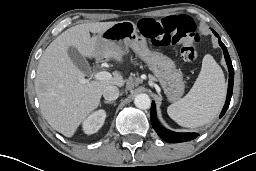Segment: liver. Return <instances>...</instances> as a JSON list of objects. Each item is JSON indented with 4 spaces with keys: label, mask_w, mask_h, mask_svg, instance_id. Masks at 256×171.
<instances>
[{
    "label": "liver",
    "mask_w": 256,
    "mask_h": 171,
    "mask_svg": "<svg viewBox=\"0 0 256 171\" xmlns=\"http://www.w3.org/2000/svg\"><path fill=\"white\" fill-rule=\"evenodd\" d=\"M117 22L84 23L61 33L46 48L39 60L35 88L40 109L49 125L66 137H72L82 121L95 110L107 86L124 85L123 76L114 73L111 80H92L82 84L83 72L71 61L67 50L75 47L83 57L107 58L118 62L123 52L110 44L102 45L98 37Z\"/></svg>",
    "instance_id": "1"
}]
</instances>
